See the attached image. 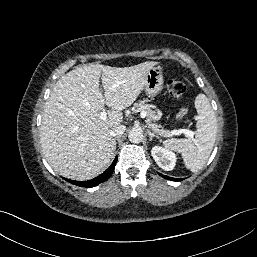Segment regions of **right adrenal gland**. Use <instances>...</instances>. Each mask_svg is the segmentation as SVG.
Here are the masks:
<instances>
[{"label":"right adrenal gland","instance_id":"2a0ac1e0","mask_svg":"<svg viewBox=\"0 0 257 257\" xmlns=\"http://www.w3.org/2000/svg\"><path fill=\"white\" fill-rule=\"evenodd\" d=\"M114 144H115V148H116V138L114 139Z\"/></svg>","mask_w":257,"mask_h":257}]
</instances>
